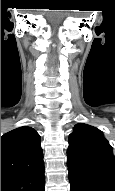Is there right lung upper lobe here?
Returning a JSON list of instances; mask_svg holds the SVG:
<instances>
[{
  "label": "right lung upper lobe",
  "instance_id": "right-lung-upper-lobe-1",
  "mask_svg": "<svg viewBox=\"0 0 115 191\" xmlns=\"http://www.w3.org/2000/svg\"><path fill=\"white\" fill-rule=\"evenodd\" d=\"M40 135L31 127L1 137V178L25 177L44 170Z\"/></svg>",
  "mask_w": 115,
  "mask_h": 191
}]
</instances>
